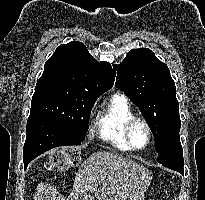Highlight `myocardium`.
I'll list each match as a JSON object with an SVG mask.
<instances>
[{
	"instance_id": "myocardium-1",
	"label": "myocardium",
	"mask_w": 205,
	"mask_h": 200,
	"mask_svg": "<svg viewBox=\"0 0 205 200\" xmlns=\"http://www.w3.org/2000/svg\"><path fill=\"white\" fill-rule=\"evenodd\" d=\"M137 123H141L145 126L147 133H148V140H147V144L142 147V148H138L133 144L132 141V129L135 126V124ZM124 136L126 139L127 144L130 146V148L132 150H136V151H140V150H144L146 149L152 142L153 139V133H152V129L150 124L148 123V121L142 117H138V116H134L133 118H131L130 120L127 121V123L125 124L124 127Z\"/></svg>"
}]
</instances>
